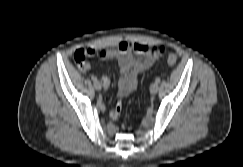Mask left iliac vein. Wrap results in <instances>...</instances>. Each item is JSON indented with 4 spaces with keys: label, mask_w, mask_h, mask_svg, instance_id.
Wrapping results in <instances>:
<instances>
[{
    "label": "left iliac vein",
    "mask_w": 243,
    "mask_h": 167,
    "mask_svg": "<svg viewBox=\"0 0 243 167\" xmlns=\"http://www.w3.org/2000/svg\"><path fill=\"white\" fill-rule=\"evenodd\" d=\"M158 89H159L158 83H152L150 86V93L154 95L158 92Z\"/></svg>",
    "instance_id": "obj_1"
}]
</instances>
